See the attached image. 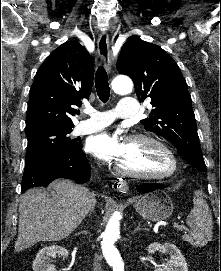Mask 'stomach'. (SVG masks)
<instances>
[{
    "instance_id": "0dacf381",
    "label": "stomach",
    "mask_w": 221,
    "mask_h": 271,
    "mask_svg": "<svg viewBox=\"0 0 221 271\" xmlns=\"http://www.w3.org/2000/svg\"><path fill=\"white\" fill-rule=\"evenodd\" d=\"M136 211L139 215L150 219V221H162L172 215L174 209L173 201L164 189H154L146 195H142L134 203Z\"/></svg>"
}]
</instances>
